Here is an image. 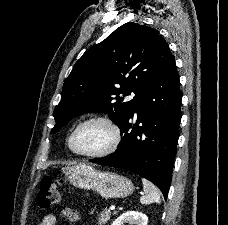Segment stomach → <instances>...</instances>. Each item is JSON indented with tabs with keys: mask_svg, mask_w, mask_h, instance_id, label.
Wrapping results in <instances>:
<instances>
[{
	"mask_svg": "<svg viewBox=\"0 0 228 225\" xmlns=\"http://www.w3.org/2000/svg\"><path fill=\"white\" fill-rule=\"evenodd\" d=\"M68 179L74 187L85 191H96L103 199H124L134 191L132 181L126 177L109 171H97L86 163L70 167Z\"/></svg>",
	"mask_w": 228,
	"mask_h": 225,
	"instance_id": "0dacf381",
	"label": "stomach"
}]
</instances>
